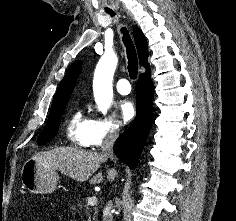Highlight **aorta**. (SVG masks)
Instances as JSON below:
<instances>
[{"label":"aorta","instance_id":"aorta-1","mask_svg":"<svg viewBox=\"0 0 236 221\" xmlns=\"http://www.w3.org/2000/svg\"><path fill=\"white\" fill-rule=\"evenodd\" d=\"M118 63V58L114 53L104 54L100 61L99 66L105 73L103 80L99 81L94 88L95 102L99 111L106 113L113 98L112 80L113 75Z\"/></svg>","mask_w":236,"mask_h":221}]
</instances>
